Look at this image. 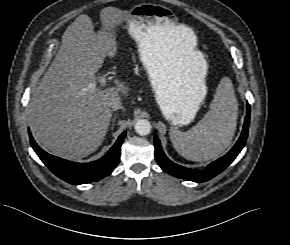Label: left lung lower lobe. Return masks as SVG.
Returning a JSON list of instances; mask_svg holds the SVG:
<instances>
[{
  "mask_svg": "<svg viewBox=\"0 0 290 245\" xmlns=\"http://www.w3.org/2000/svg\"><path fill=\"white\" fill-rule=\"evenodd\" d=\"M249 114H250V106H248V109H247V115L245 117L242 134L238 142L236 143V145L225 156L212 162L205 170L198 171V170L188 169L170 161L165 156L161 148L158 137L155 136L154 137V143H155V149H156L155 157L158 164L167 173L173 176L179 177V178L186 179V180H191L195 182H204L213 178L214 176L222 172L236 158V156L244 147L246 139H247V134H248V126H249V119H250Z\"/></svg>",
  "mask_w": 290,
  "mask_h": 245,
  "instance_id": "0a47b994",
  "label": "left lung lower lobe"
}]
</instances>
